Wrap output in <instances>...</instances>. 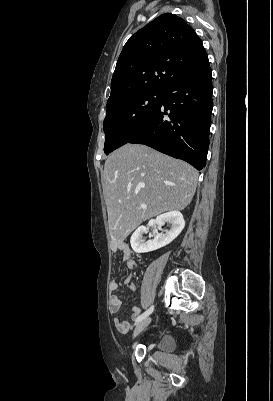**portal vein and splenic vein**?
I'll return each mask as SVG.
<instances>
[{
  "mask_svg": "<svg viewBox=\"0 0 273 401\" xmlns=\"http://www.w3.org/2000/svg\"><path fill=\"white\" fill-rule=\"evenodd\" d=\"M168 184H174V182H168ZM141 209H147V205H140Z\"/></svg>",
  "mask_w": 273,
  "mask_h": 401,
  "instance_id": "portal-vein-and-splenic-vein-1",
  "label": "portal vein and splenic vein"
}]
</instances>
